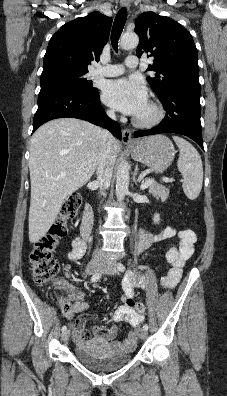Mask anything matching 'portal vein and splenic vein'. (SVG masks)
<instances>
[{"label": "portal vein and splenic vein", "instance_id": "portal-vein-and-splenic-vein-1", "mask_svg": "<svg viewBox=\"0 0 227 396\" xmlns=\"http://www.w3.org/2000/svg\"><path fill=\"white\" fill-rule=\"evenodd\" d=\"M166 180H167V178H163V181H166ZM153 182H154V180H148V181L142 183L141 189L144 190V189L148 188Z\"/></svg>", "mask_w": 227, "mask_h": 396}]
</instances>
